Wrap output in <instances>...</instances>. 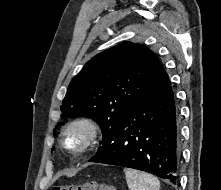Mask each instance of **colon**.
Here are the masks:
<instances>
[{
  "label": "colon",
  "instance_id": "obj_1",
  "mask_svg": "<svg viewBox=\"0 0 221 190\" xmlns=\"http://www.w3.org/2000/svg\"><path fill=\"white\" fill-rule=\"evenodd\" d=\"M53 190H114L111 186L101 185L97 182L83 184L56 185Z\"/></svg>",
  "mask_w": 221,
  "mask_h": 190
}]
</instances>
